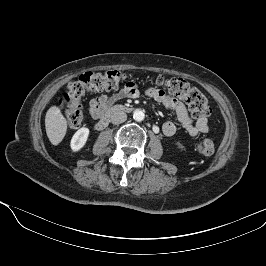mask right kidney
Returning a JSON list of instances; mask_svg holds the SVG:
<instances>
[{"instance_id": "obj_1", "label": "right kidney", "mask_w": 266, "mask_h": 266, "mask_svg": "<svg viewBox=\"0 0 266 266\" xmlns=\"http://www.w3.org/2000/svg\"><path fill=\"white\" fill-rule=\"evenodd\" d=\"M89 136V129L88 128H80L72 137L71 139V149L74 152L79 151L84 147L87 142Z\"/></svg>"}]
</instances>
